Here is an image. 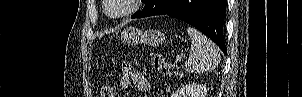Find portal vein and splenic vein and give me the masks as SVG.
Instances as JSON below:
<instances>
[{
	"instance_id": "18ae733b",
	"label": "portal vein and splenic vein",
	"mask_w": 302,
	"mask_h": 97,
	"mask_svg": "<svg viewBox=\"0 0 302 97\" xmlns=\"http://www.w3.org/2000/svg\"><path fill=\"white\" fill-rule=\"evenodd\" d=\"M181 59H182L181 56H179V55L176 56V61H181Z\"/></svg>"
}]
</instances>
